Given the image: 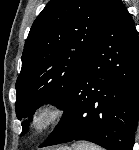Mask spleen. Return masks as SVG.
I'll return each mask as SVG.
<instances>
[{
  "label": "spleen",
  "mask_w": 139,
  "mask_h": 150,
  "mask_svg": "<svg viewBox=\"0 0 139 150\" xmlns=\"http://www.w3.org/2000/svg\"><path fill=\"white\" fill-rule=\"evenodd\" d=\"M73 150H103L101 147L87 142H80L73 145Z\"/></svg>",
  "instance_id": "obj_1"
}]
</instances>
